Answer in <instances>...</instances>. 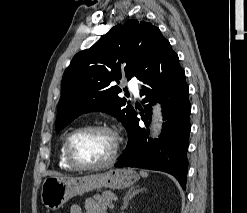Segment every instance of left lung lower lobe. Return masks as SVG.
<instances>
[{
	"mask_svg": "<svg viewBox=\"0 0 247 213\" xmlns=\"http://www.w3.org/2000/svg\"><path fill=\"white\" fill-rule=\"evenodd\" d=\"M140 95L145 109L141 118L148 128L151 116V105L155 100L163 108V129L159 139L152 141L148 138L146 128L138 124L137 112L126 127L129 135L126 149L120 156L115 167H138L164 171L173 175L186 189L188 160L186 157L189 133L190 111L188 100L189 88L185 81V72L179 65V58L175 52L159 64L153 65L143 77Z\"/></svg>",
	"mask_w": 247,
	"mask_h": 213,
	"instance_id": "0a47b994",
	"label": "left lung lower lobe"
}]
</instances>
